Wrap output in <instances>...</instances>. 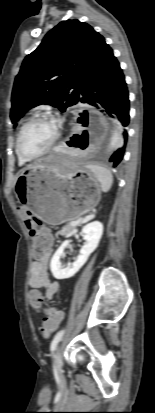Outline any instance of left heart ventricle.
<instances>
[{"label": "left heart ventricle", "mask_w": 155, "mask_h": 413, "mask_svg": "<svg viewBox=\"0 0 155 413\" xmlns=\"http://www.w3.org/2000/svg\"><path fill=\"white\" fill-rule=\"evenodd\" d=\"M55 133L56 124L53 121H35L25 129L22 137V147L29 154L38 153L50 144Z\"/></svg>", "instance_id": "1"}]
</instances>
